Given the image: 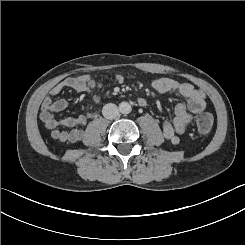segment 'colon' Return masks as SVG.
<instances>
[{"mask_svg": "<svg viewBox=\"0 0 245 245\" xmlns=\"http://www.w3.org/2000/svg\"><path fill=\"white\" fill-rule=\"evenodd\" d=\"M214 118L209 112H203L196 117V128L201 134H209L213 128Z\"/></svg>", "mask_w": 245, "mask_h": 245, "instance_id": "5ec220e1", "label": "colon"}]
</instances>
